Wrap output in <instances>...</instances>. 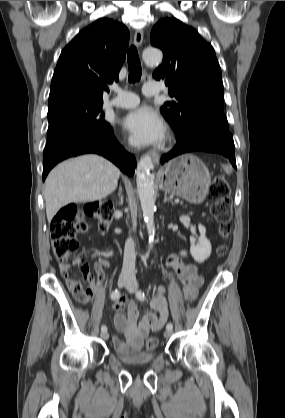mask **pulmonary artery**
Returning <instances> with one entry per match:
<instances>
[{
  "instance_id": "obj_1",
  "label": "pulmonary artery",
  "mask_w": 285,
  "mask_h": 418,
  "mask_svg": "<svg viewBox=\"0 0 285 418\" xmlns=\"http://www.w3.org/2000/svg\"><path fill=\"white\" fill-rule=\"evenodd\" d=\"M118 96L108 101V106L116 108H130L139 103V97L133 93L116 90ZM161 88L154 83L147 82L143 86V94L145 96L158 95Z\"/></svg>"
}]
</instances>
